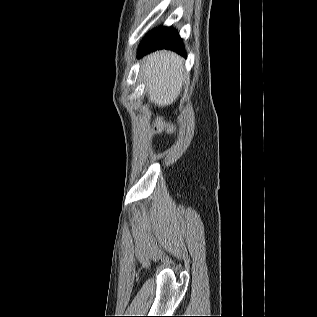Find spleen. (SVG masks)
I'll use <instances>...</instances> for the list:
<instances>
[{
	"mask_svg": "<svg viewBox=\"0 0 317 317\" xmlns=\"http://www.w3.org/2000/svg\"><path fill=\"white\" fill-rule=\"evenodd\" d=\"M142 72L150 99L155 104L169 105L180 94L185 75L178 55L167 51L155 53L148 57Z\"/></svg>",
	"mask_w": 317,
	"mask_h": 317,
	"instance_id": "spleen-1",
	"label": "spleen"
}]
</instances>
